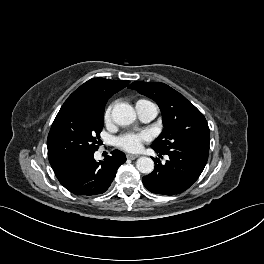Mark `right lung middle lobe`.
Masks as SVG:
<instances>
[{
	"mask_svg": "<svg viewBox=\"0 0 264 264\" xmlns=\"http://www.w3.org/2000/svg\"><path fill=\"white\" fill-rule=\"evenodd\" d=\"M104 123V109L63 104L48 135L49 161L75 152H95Z\"/></svg>",
	"mask_w": 264,
	"mask_h": 264,
	"instance_id": "right-lung-middle-lobe-1",
	"label": "right lung middle lobe"
}]
</instances>
